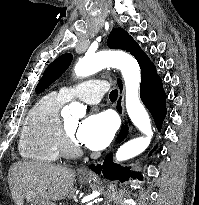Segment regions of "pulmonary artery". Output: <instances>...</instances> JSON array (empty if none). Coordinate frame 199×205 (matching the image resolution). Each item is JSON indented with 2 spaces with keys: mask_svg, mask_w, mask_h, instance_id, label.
Here are the masks:
<instances>
[{
  "mask_svg": "<svg viewBox=\"0 0 199 205\" xmlns=\"http://www.w3.org/2000/svg\"><path fill=\"white\" fill-rule=\"evenodd\" d=\"M107 91V83L100 79H89L72 87H63L59 94L65 101L78 98L88 104H97Z\"/></svg>",
  "mask_w": 199,
  "mask_h": 205,
  "instance_id": "obj_1",
  "label": "pulmonary artery"
}]
</instances>
